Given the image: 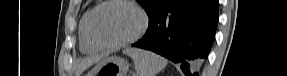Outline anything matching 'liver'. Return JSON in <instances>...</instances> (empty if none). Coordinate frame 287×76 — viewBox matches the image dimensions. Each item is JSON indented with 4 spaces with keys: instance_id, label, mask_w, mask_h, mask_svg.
I'll use <instances>...</instances> for the list:
<instances>
[{
    "instance_id": "obj_1",
    "label": "liver",
    "mask_w": 287,
    "mask_h": 76,
    "mask_svg": "<svg viewBox=\"0 0 287 76\" xmlns=\"http://www.w3.org/2000/svg\"><path fill=\"white\" fill-rule=\"evenodd\" d=\"M100 59L101 57H92L83 59L77 67L76 76H80V74H82L83 71L88 69L94 63H97Z\"/></svg>"
}]
</instances>
